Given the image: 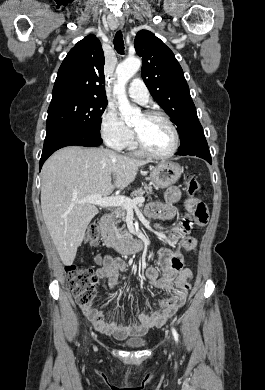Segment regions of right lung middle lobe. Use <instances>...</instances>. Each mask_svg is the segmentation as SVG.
<instances>
[{"mask_svg": "<svg viewBox=\"0 0 265 390\" xmlns=\"http://www.w3.org/2000/svg\"><path fill=\"white\" fill-rule=\"evenodd\" d=\"M107 104V100L92 97L51 100L46 126L69 125L100 136V118Z\"/></svg>", "mask_w": 265, "mask_h": 390, "instance_id": "dd1d6c3e", "label": "right lung middle lobe"}]
</instances>
